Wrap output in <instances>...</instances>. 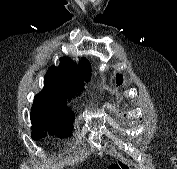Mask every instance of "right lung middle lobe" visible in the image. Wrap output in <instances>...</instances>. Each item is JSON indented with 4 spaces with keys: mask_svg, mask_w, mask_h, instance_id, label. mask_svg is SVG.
Wrapping results in <instances>:
<instances>
[{
    "mask_svg": "<svg viewBox=\"0 0 177 169\" xmlns=\"http://www.w3.org/2000/svg\"><path fill=\"white\" fill-rule=\"evenodd\" d=\"M67 102L49 106H32V138L39 140L45 137L44 132L67 137L73 129L74 115L66 107Z\"/></svg>",
    "mask_w": 177,
    "mask_h": 169,
    "instance_id": "obj_1",
    "label": "right lung middle lobe"
}]
</instances>
